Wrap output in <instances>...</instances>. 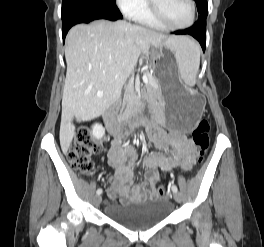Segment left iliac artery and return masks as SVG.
Here are the masks:
<instances>
[{
	"instance_id": "obj_1",
	"label": "left iliac artery",
	"mask_w": 264,
	"mask_h": 247,
	"mask_svg": "<svg viewBox=\"0 0 264 247\" xmlns=\"http://www.w3.org/2000/svg\"><path fill=\"white\" fill-rule=\"evenodd\" d=\"M171 189H172L173 192H177L178 191L177 186L174 185V184L171 186Z\"/></svg>"
}]
</instances>
